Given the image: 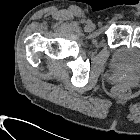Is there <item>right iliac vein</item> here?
Listing matches in <instances>:
<instances>
[{
    "label": "right iliac vein",
    "mask_w": 140,
    "mask_h": 140,
    "mask_svg": "<svg viewBox=\"0 0 140 140\" xmlns=\"http://www.w3.org/2000/svg\"><path fill=\"white\" fill-rule=\"evenodd\" d=\"M88 31H93V29L95 28L93 23H88L87 26L85 27Z\"/></svg>",
    "instance_id": "1"
}]
</instances>
